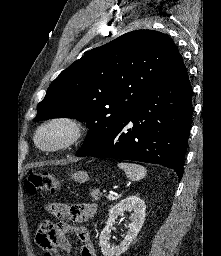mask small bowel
<instances>
[{
    "instance_id": "obj_1",
    "label": "small bowel",
    "mask_w": 221,
    "mask_h": 256,
    "mask_svg": "<svg viewBox=\"0 0 221 256\" xmlns=\"http://www.w3.org/2000/svg\"><path fill=\"white\" fill-rule=\"evenodd\" d=\"M49 211L56 217L66 220L63 223L44 221L36 235V241L41 247L44 256H60L58 250L69 252V233H74L81 241V256H97L91 242L88 230L83 226H76L94 217L96 206L94 204L59 205L51 204Z\"/></svg>"
}]
</instances>
